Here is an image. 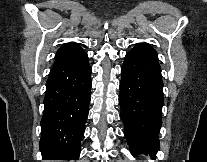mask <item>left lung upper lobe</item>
Listing matches in <instances>:
<instances>
[{
  "label": "left lung upper lobe",
  "instance_id": "1",
  "mask_svg": "<svg viewBox=\"0 0 207 162\" xmlns=\"http://www.w3.org/2000/svg\"><path fill=\"white\" fill-rule=\"evenodd\" d=\"M131 51L147 53V54H151V55L157 56L156 51L151 46H149L146 43L137 44Z\"/></svg>",
  "mask_w": 207,
  "mask_h": 162
}]
</instances>
